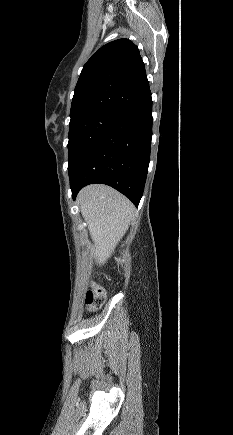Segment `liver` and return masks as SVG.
Segmentation results:
<instances>
[{"instance_id": "liver-1", "label": "liver", "mask_w": 233, "mask_h": 435, "mask_svg": "<svg viewBox=\"0 0 233 435\" xmlns=\"http://www.w3.org/2000/svg\"><path fill=\"white\" fill-rule=\"evenodd\" d=\"M77 202L94 243V258L104 264L128 230L135 208L122 194L102 184L83 188Z\"/></svg>"}]
</instances>
